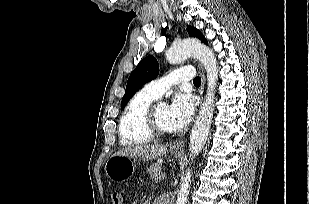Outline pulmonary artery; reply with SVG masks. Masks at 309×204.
I'll return each instance as SVG.
<instances>
[{"label": "pulmonary artery", "mask_w": 309, "mask_h": 204, "mask_svg": "<svg viewBox=\"0 0 309 204\" xmlns=\"http://www.w3.org/2000/svg\"><path fill=\"white\" fill-rule=\"evenodd\" d=\"M195 78V71L191 67H184L168 73L166 76L155 79L147 83L143 90L159 98L162 94L177 83L189 81Z\"/></svg>", "instance_id": "1"}]
</instances>
